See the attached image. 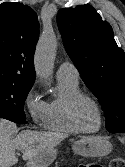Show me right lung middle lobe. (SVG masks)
Returning <instances> with one entry per match:
<instances>
[{
  "mask_svg": "<svg viewBox=\"0 0 125 167\" xmlns=\"http://www.w3.org/2000/svg\"><path fill=\"white\" fill-rule=\"evenodd\" d=\"M32 87L0 83V111L18 118H26L24 102Z\"/></svg>",
  "mask_w": 125,
  "mask_h": 167,
  "instance_id": "right-lung-middle-lobe-1",
  "label": "right lung middle lobe"
}]
</instances>
